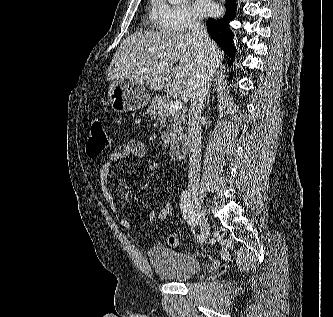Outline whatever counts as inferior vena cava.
Here are the masks:
<instances>
[{
    "mask_svg": "<svg viewBox=\"0 0 333 317\" xmlns=\"http://www.w3.org/2000/svg\"><path fill=\"white\" fill-rule=\"evenodd\" d=\"M191 34L200 44L201 49L209 54L204 61V70L198 75L191 95V105L188 114V145H189V171L188 184L190 188L198 189L200 180L201 159V126L200 117L204 107V101L210 89L214 77L215 60L210 56V38L206 28L199 22L191 25Z\"/></svg>",
    "mask_w": 333,
    "mask_h": 317,
    "instance_id": "602c4592",
    "label": "inferior vena cava"
}]
</instances>
